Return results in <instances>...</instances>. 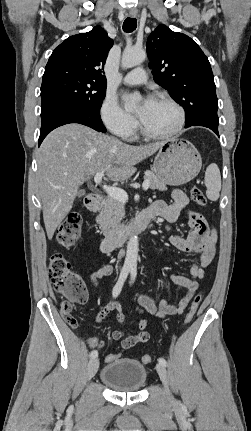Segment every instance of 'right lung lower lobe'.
<instances>
[{
	"label": "right lung lower lobe",
	"mask_w": 251,
	"mask_h": 431,
	"mask_svg": "<svg viewBox=\"0 0 251 431\" xmlns=\"http://www.w3.org/2000/svg\"><path fill=\"white\" fill-rule=\"evenodd\" d=\"M41 130L38 145L53 129L69 124L80 123L99 132H106L100 113H94L81 107L70 104H54L41 110Z\"/></svg>",
	"instance_id": "right-lung-lower-lobe-1"
}]
</instances>
